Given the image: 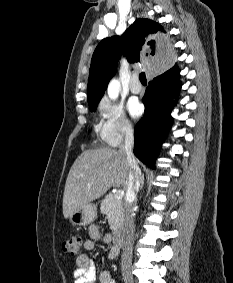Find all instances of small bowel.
<instances>
[{
    "instance_id": "obj_1",
    "label": "small bowel",
    "mask_w": 233,
    "mask_h": 283,
    "mask_svg": "<svg viewBox=\"0 0 233 283\" xmlns=\"http://www.w3.org/2000/svg\"><path fill=\"white\" fill-rule=\"evenodd\" d=\"M90 238L84 242V248L87 251H92L96 248L97 242L103 240L109 242L111 237L109 235L102 236L100 230L96 226H91L89 229ZM118 251L112 246L108 252V259L113 260L118 256ZM74 283H95L96 268L93 260L86 254L80 255L76 260V268L74 270ZM99 283H116L110 272L103 271L100 274Z\"/></svg>"
}]
</instances>
